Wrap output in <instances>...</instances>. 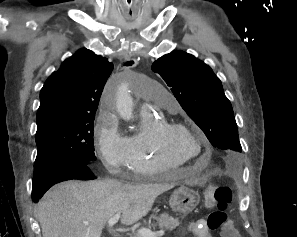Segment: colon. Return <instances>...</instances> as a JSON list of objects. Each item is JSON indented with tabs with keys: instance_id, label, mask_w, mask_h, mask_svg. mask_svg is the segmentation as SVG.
<instances>
[{
	"instance_id": "5ec220e1",
	"label": "colon",
	"mask_w": 297,
	"mask_h": 237,
	"mask_svg": "<svg viewBox=\"0 0 297 237\" xmlns=\"http://www.w3.org/2000/svg\"><path fill=\"white\" fill-rule=\"evenodd\" d=\"M231 200V190L224 184L215 185L205 191V204L210 210L207 225L212 230L221 231L223 237H242L226 214Z\"/></svg>"
}]
</instances>
